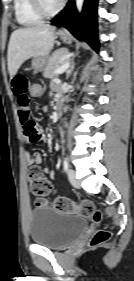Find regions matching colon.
Instances as JSON below:
<instances>
[{
	"label": "colon",
	"mask_w": 134,
	"mask_h": 281,
	"mask_svg": "<svg viewBox=\"0 0 134 281\" xmlns=\"http://www.w3.org/2000/svg\"><path fill=\"white\" fill-rule=\"evenodd\" d=\"M44 87L40 82H32L29 87L30 96L33 98H39L43 95ZM28 183L31 192L38 196L36 200L37 206H48L49 202L43 197L51 192V183L43 176L42 170L38 166L30 168L28 174ZM51 206L64 213H77L84 217L91 218L94 221H99L101 213L95 208L94 204L88 200H83L79 203H75L72 200L65 197H58L52 203ZM110 232L107 230H98L92 240V245H99L106 242L110 238Z\"/></svg>",
	"instance_id": "1"
}]
</instances>
